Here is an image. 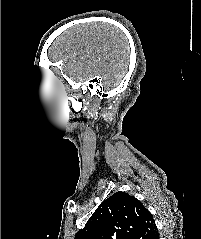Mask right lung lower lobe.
<instances>
[{"instance_id":"98d812e1","label":"right lung lower lobe","mask_w":201,"mask_h":239,"mask_svg":"<svg viewBox=\"0 0 201 239\" xmlns=\"http://www.w3.org/2000/svg\"><path fill=\"white\" fill-rule=\"evenodd\" d=\"M156 239H159V235L156 237Z\"/></svg>"}]
</instances>
